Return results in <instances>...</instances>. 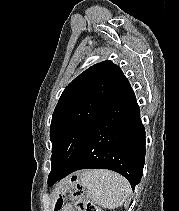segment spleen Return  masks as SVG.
Here are the masks:
<instances>
[{"label": "spleen", "mask_w": 179, "mask_h": 211, "mask_svg": "<svg viewBox=\"0 0 179 211\" xmlns=\"http://www.w3.org/2000/svg\"><path fill=\"white\" fill-rule=\"evenodd\" d=\"M81 183L89 199L105 209L121 206L131 194L129 182L109 170H86L81 174Z\"/></svg>", "instance_id": "spleen-1"}]
</instances>
